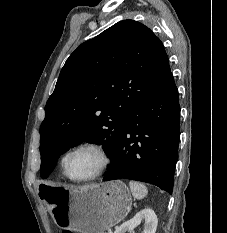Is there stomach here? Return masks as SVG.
Listing matches in <instances>:
<instances>
[{
	"label": "stomach",
	"instance_id": "0dacf381",
	"mask_svg": "<svg viewBox=\"0 0 227 233\" xmlns=\"http://www.w3.org/2000/svg\"><path fill=\"white\" fill-rule=\"evenodd\" d=\"M43 199L55 223L80 233H104L122 221L131 210L132 198L122 181L71 189L45 183Z\"/></svg>",
	"mask_w": 227,
	"mask_h": 233
}]
</instances>
